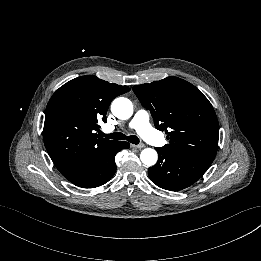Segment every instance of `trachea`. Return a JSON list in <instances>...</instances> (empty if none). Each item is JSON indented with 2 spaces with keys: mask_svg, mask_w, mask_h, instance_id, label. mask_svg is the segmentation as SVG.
Returning a JSON list of instances; mask_svg holds the SVG:
<instances>
[{
  "mask_svg": "<svg viewBox=\"0 0 261 261\" xmlns=\"http://www.w3.org/2000/svg\"><path fill=\"white\" fill-rule=\"evenodd\" d=\"M104 136L107 138H110V139H115V140H127L128 142L136 144V145L140 143V140L137 136H134V135L126 136L125 134L120 133V132L111 133V134H107Z\"/></svg>",
  "mask_w": 261,
  "mask_h": 261,
  "instance_id": "obj_1",
  "label": "trachea"
}]
</instances>
